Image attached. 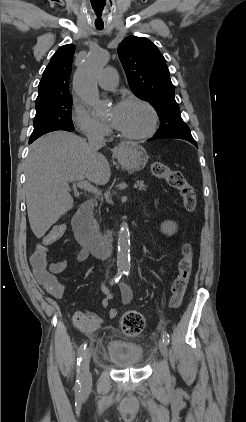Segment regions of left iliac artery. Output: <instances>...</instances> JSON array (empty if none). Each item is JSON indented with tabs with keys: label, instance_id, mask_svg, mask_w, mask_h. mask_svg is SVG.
Instances as JSON below:
<instances>
[{
	"label": "left iliac artery",
	"instance_id": "obj_1",
	"mask_svg": "<svg viewBox=\"0 0 246 422\" xmlns=\"http://www.w3.org/2000/svg\"><path fill=\"white\" fill-rule=\"evenodd\" d=\"M124 274L126 275V276H128L129 275V270H126L125 272H124ZM169 338H170V336H169V334L166 332V331H164L163 332V340L165 341V343H169Z\"/></svg>",
	"mask_w": 246,
	"mask_h": 422
}]
</instances>
